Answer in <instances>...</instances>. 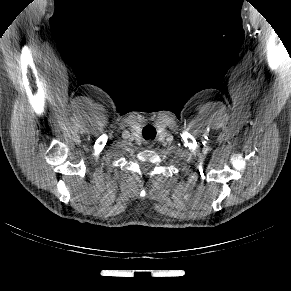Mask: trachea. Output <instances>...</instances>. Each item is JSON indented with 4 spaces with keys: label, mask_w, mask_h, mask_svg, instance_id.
I'll list each match as a JSON object with an SVG mask.
<instances>
[{
    "label": "trachea",
    "mask_w": 291,
    "mask_h": 291,
    "mask_svg": "<svg viewBox=\"0 0 291 291\" xmlns=\"http://www.w3.org/2000/svg\"><path fill=\"white\" fill-rule=\"evenodd\" d=\"M142 132H143L142 134H143L144 138L149 137L150 139H153L156 136L155 128L150 126V125L146 126Z\"/></svg>",
    "instance_id": "obj_1"
}]
</instances>
